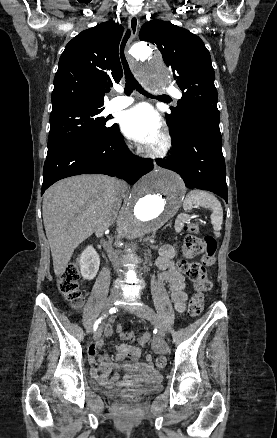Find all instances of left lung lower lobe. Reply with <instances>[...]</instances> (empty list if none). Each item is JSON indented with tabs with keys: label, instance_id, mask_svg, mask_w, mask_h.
<instances>
[{
	"label": "left lung lower lobe",
	"instance_id": "0a47b994",
	"mask_svg": "<svg viewBox=\"0 0 277 438\" xmlns=\"http://www.w3.org/2000/svg\"><path fill=\"white\" fill-rule=\"evenodd\" d=\"M220 114L215 105H205L185 121L183 131L175 139L176 148L159 166L175 171L186 187L208 190L227 202L226 167L219 130Z\"/></svg>",
	"mask_w": 277,
	"mask_h": 438
}]
</instances>
